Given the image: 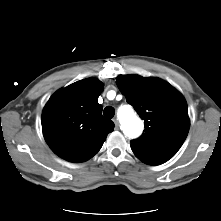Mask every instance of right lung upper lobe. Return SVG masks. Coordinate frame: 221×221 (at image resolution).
I'll return each mask as SVG.
<instances>
[{
  "instance_id": "cb5924a9",
  "label": "right lung upper lobe",
  "mask_w": 221,
  "mask_h": 221,
  "mask_svg": "<svg viewBox=\"0 0 221 221\" xmlns=\"http://www.w3.org/2000/svg\"><path fill=\"white\" fill-rule=\"evenodd\" d=\"M103 83L88 78L55 92L42 112L44 138L52 151L69 162H84L102 147L114 123L102 116L98 97Z\"/></svg>"
}]
</instances>
